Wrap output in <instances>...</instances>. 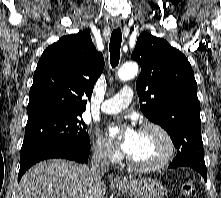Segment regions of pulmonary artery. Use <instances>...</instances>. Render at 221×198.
<instances>
[{
  "label": "pulmonary artery",
  "instance_id": "e3ab8cb5",
  "mask_svg": "<svg viewBox=\"0 0 221 198\" xmlns=\"http://www.w3.org/2000/svg\"><path fill=\"white\" fill-rule=\"evenodd\" d=\"M133 97L130 87H124L118 94L103 102L101 111L107 114L118 113L127 108Z\"/></svg>",
  "mask_w": 221,
  "mask_h": 198
}]
</instances>
